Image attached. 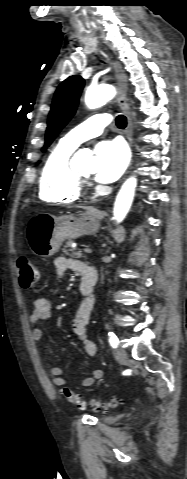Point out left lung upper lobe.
<instances>
[{"mask_svg":"<svg viewBox=\"0 0 187 479\" xmlns=\"http://www.w3.org/2000/svg\"><path fill=\"white\" fill-rule=\"evenodd\" d=\"M84 84L81 76L74 75L64 80L57 88L49 113L43 151L74 115Z\"/></svg>","mask_w":187,"mask_h":479,"instance_id":"1","label":"left lung upper lobe"}]
</instances>
